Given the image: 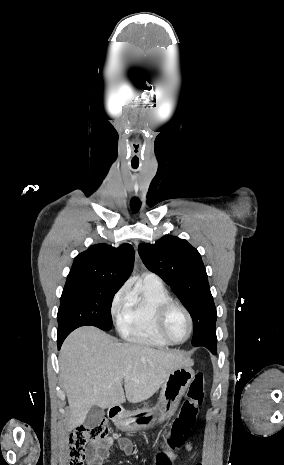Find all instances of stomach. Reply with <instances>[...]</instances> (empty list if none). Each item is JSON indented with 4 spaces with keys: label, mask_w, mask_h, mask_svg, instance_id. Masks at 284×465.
I'll use <instances>...</instances> for the list:
<instances>
[{
    "label": "stomach",
    "mask_w": 284,
    "mask_h": 465,
    "mask_svg": "<svg viewBox=\"0 0 284 465\" xmlns=\"http://www.w3.org/2000/svg\"><path fill=\"white\" fill-rule=\"evenodd\" d=\"M194 371L191 367H180L166 377L160 391L158 405L153 409H137V411H122L113 417L117 429L125 433H135L141 429H151L157 423L172 417L184 397Z\"/></svg>",
    "instance_id": "1"
}]
</instances>
